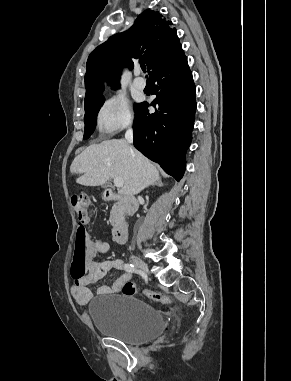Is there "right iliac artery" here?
<instances>
[{
  "label": "right iliac artery",
  "mask_w": 291,
  "mask_h": 381,
  "mask_svg": "<svg viewBox=\"0 0 291 381\" xmlns=\"http://www.w3.org/2000/svg\"><path fill=\"white\" fill-rule=\"evenodd\" d=\"M124 269L126 270V271H128V272H131V273H136L138 270L134 267V265L133 264H131V263H126L125 265H124Z\"/></svg>",
  "instance_id": "right-iliac-artery-1"
}]
</instances>
